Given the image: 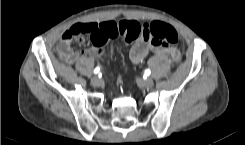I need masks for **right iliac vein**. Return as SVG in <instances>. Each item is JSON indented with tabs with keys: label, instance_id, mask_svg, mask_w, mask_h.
<instances>
[{
	"label": "right iliac vein",
	"instance_id": "63e3f726",
	"mask_svg": "<svg viewBox=\"0 0 245 145\" xmlns=\"http://www.w3.org/2000/svg\"><path fill=\"white\" fill-rule=\"evenodd\" d=\"M102 81L99 77L95 76L91 79V84L93 86L99 87L101 85Z\"/></svg>",
	"mask_w": 245,
	"mask_h": 145
}]
</instances>
